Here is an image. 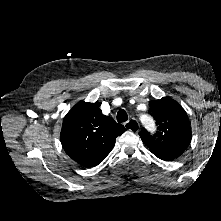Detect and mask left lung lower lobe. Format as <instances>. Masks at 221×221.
<instances>
[{"label":"left lung lower lobe","instance_id":"left-lung-lower-lobe-1","mask_svg":"<svg viewBox=\"0 0 221 221\" xmlns=\"http://www.w3.org/2000/svg\"><path fill=\"white\" fill-rule=\"evenodd\" d=\"M184 151L185 149H178L173 152H152V153L161 160L169 161L171 159L179 157Z\"/></svg>","mask_w":221,"mask_h":221}]
</instances>
